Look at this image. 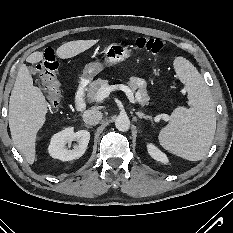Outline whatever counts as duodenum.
<instances>
[{
  "label": "duodenum",
  "mask_w": 233,
  "mask_h": 233,
  "mask_svg": "<svg viewBox=\"0 0 233 233\" xmlns=\"http://www.w3.org/2000/svg\"><path fill=\"white\" fill-rule=\"evenodd\" d=\"M86 88H87V81L81 79L77 84L76 92H75V107L78 112H82L86 108V103H85Z\"/></svg>",
  "instance_id": "1"
}]
</instances>
